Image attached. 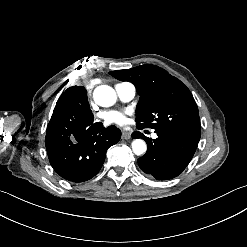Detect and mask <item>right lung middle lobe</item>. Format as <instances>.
<instances>
[{
    "mask_svg": "<svg viewBox=\"0 0 247 247\" xmlns=\"http://www.w3.org/2000/svg\"><path fill=\"white\" fill-rule=\"evenodd\" d=\"M61 107H72L84 114L92 113L87 100V91L82 86L68 88L57 101L55 109ZM55 126H58V123L51 118L46 133L58 134L59 130H57Z\"/></svg>",
    "mask_w": 247,
    "mask_h": 247,
    "instance_id": "dd1d6c3e",
    "label": "right lung middle lobe"
}]
</instances>
